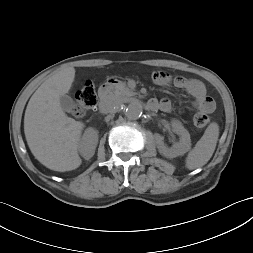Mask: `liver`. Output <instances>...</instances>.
Returning a JSON list of instances; mask_svg holds the SVG:
<instances>
[{"mask_svg":"<svg viewBox=\"0 0 253 253\" xmlns=\"http://www.w3.org/2000/svg\"><path fill=\"white\" fill-rule=\"evenodd\" d=\"M74 78L75 69L67 67L46 79L30 98L24 116L30 151L41 164L58 172L77 169L82 163L78 146L84 123L68 117L59 102Z\"/></svg>","mask_w":253,"mask_h":253,"instance_id":"1","label":"liver"}]
</instances>
